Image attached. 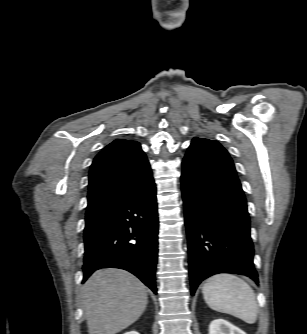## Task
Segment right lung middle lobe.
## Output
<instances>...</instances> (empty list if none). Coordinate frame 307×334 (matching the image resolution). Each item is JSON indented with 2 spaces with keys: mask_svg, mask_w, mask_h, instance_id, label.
<instances>
[{
  "mask_svg": "<svg viewBox=\"0 0 307 334\" xmlns=\"http://www.w3.org/2000/svg\"><path fill=\"white\" fill-rule=\"evenodd\" d=\"M96 220V217H86V227L93 224Z\"/></svg>",
  "mask_w": 307,
  "mask_h": 334,
  "instance_id": "obj_1",
  "label": "right lung middle lobe"
}]
</instances>
